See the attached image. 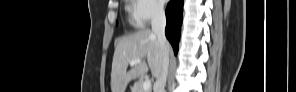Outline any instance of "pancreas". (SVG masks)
<instances>
[{"mask_svg":"<svg viewBox=\"0 0 296 92\" xmlns=\"http://www.w3.org/2000/svg\"><path fill=\"white\" fill-rule=\"evenodd\" d=\"M143 83L142 80L137 81L132 88V92H151L150 89L143 90Z\"/></svg>","mask_w":296,"mask_h":92,"instance_id":"obj_1","label":"pancreas"}]
</instances>
